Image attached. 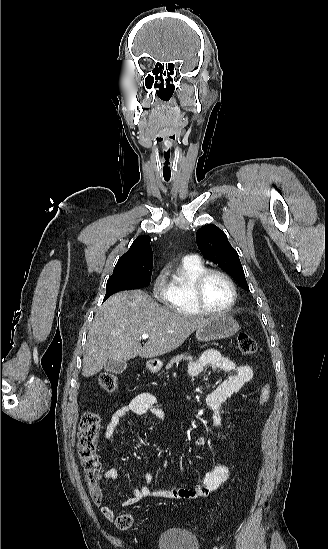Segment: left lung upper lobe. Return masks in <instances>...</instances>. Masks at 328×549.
<instances>
[{
	"label": "left lung upper lobe",
	"mask_w": 328,
	"mask_h": 549,
	"mask_svg": "<svg viewBox=\"0 0 328 549\" xmlns=\"http://www.w3.org/2000/svg\"><path fill=\"white\" fill-rule=\"evenodd\" d=\"M196 240L205 257L231 275L242 288L249 290L238 253L221 229L216 225H205L198 230Z\"/></svg>",
	"instance_id": "5c2ea615"
}]
</instances>
